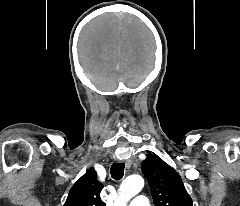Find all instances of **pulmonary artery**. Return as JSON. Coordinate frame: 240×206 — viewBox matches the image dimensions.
Segmentation results:
<instances>
[{
    "label": "pulmonary artery",
    "mask_w": 240,
    "mask_h": 206,
    "mask_svg": "<svg viewBox=\"0 0 240 206\" xmlns=\"http://www.w3.org/2000/svg\"><path fill=\"white\" fill-rule=\"evenodd\" d=\"M129 206H150V204L146 196L139 195L129 203Z\"/></svg>",
    "instance_id": "obj_1"
}]
</instances>
